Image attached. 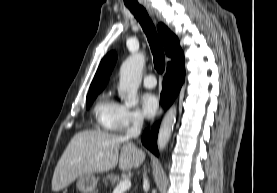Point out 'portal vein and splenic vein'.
I'll return each instance as SVG.
<instances>
[{"mask_svg":"<svg viewBox=\"0 0 277 193\" xmlns=\"http://www.w3.org/2000/svg\"><path fill=\"white\" fill-rule=\"evenodd\" d=\"M130 187H131V180L128 178H125L119 182V184L114 189L113 193H123L129 190Z\"/></svg>","mask_w":277,"mask_h":193,"instance_id":"obj_1","label":"portal vein and splenic vein"}]
</instances>
